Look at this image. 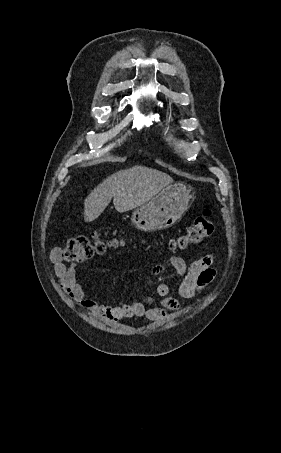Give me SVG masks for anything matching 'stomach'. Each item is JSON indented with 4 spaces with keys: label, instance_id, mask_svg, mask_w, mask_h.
I'll list each match as a JSON object with an SVG mask.
<instances>
[{
    "label": "stomach",
    "instance_id": "1",
    "mask_svg": "<svg viewBox=\"0 0 281 453\" xmlns=\"http://www.w3.org/2000/svg\"><path fill=\"white\" fill-rule=\"evenodd\" d=\"M193 196L190 184L184 182L168 184L146 204L137 206L132 212L131 220L136 229L145 233L169 229L189 208Z\"/></svg>",
    "mask_w": 281,
    "mask_h": 453
}]
</instances>
